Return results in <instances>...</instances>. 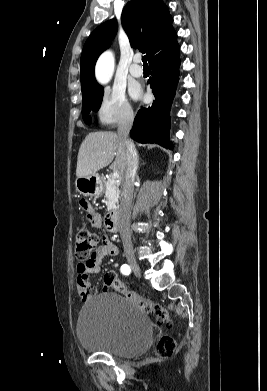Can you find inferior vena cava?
<instances>
[{"label":"inferior vena cava","instance_id":"1","mask_svg":"<svg viewBox=\"0 0 267 391\" xmlns=\"http://www.w3.org/2000/svg\"><path fill=\"white\" fill-rule=\"evenodd\" d=\"M133 113L126 114L118 124V136L126 149V168L122 177L120 206H119V230L122 239L124 251L131 252L132 242L129 231L131 203L133 197V186L138 166V154L131 140H129V132L133 124Z\"/></svg>","mask_w":267,"mask_h":391}]
</instances>
